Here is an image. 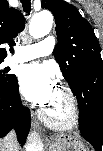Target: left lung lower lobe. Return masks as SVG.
<instances>
[{"instance_id": "obj_1", "label": "left lung lower lobe", "mask_w": 103, "mask_h": 151, "mask_svg": "<svg viewBox=\"0 0 103 151\" xmlns=\"http://www.w3.org/2000/svg\"><path fill=\"white\" fill-rule=\"evenodd\" d=\"M78 100L79 131L96 149L103 144V70L101 65H91L87 75L70 84Z\"/></svg>"}]
</instances>
